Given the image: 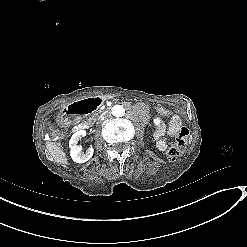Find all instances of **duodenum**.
Wrapping results in <instances>:
<instances>
[{"instance_id":"duodenum-1","label":"duodenum","mask_w":247,"mask_h":247,"mask_svg":"<svg viewBox=\"0 0 247 247\" xmlns=\"http://www.w3.org/2000/svg\"><path fill=\"white\" fill-rule=\"evenodd\" d=\"M102 103L103 99L99 96L85 98L70 104L63 115L66 119L75 120L82 115L91 113L98 109ZM87 127V123L81 122L75 126V130H85Z\"/></svg>"}]
</instances>
